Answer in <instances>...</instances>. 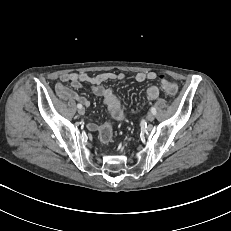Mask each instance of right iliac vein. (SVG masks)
Returning a JSON list of instances; mask_svg holds the SVG:
<instances>
[{
  "mask_svg": "<svg viewBox=\"0 0 231 231\" xmlns=\"http://www.w3.org/2000/svg\"><path fill=\"white\" fill-rule=\"evenodd\" d=\"M78 113H79L80 115H84L85 109H84V108H79V109H78Z\"/></svg>",
  "mask_w": 231,
  "mask_h": 231,
  "instance_id": "obj_1",
  "label": "right iliac vein"
}]
</instances>
